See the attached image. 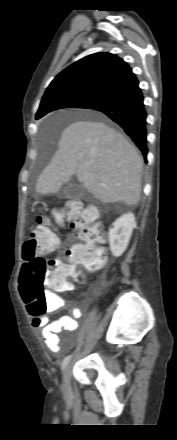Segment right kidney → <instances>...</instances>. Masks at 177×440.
<instances>
[{"instance_id": "obj_1", "label": "right kidney", "mask_w": 177, "mask_h": 440, "mask_svg": "<svg viewBox=\"0 0 177 440\" xmlns=\"http://www.w3.org/2000/svg\"><path fill=\"white\" fill-rule=\"evenodd\" d=\"M135 226L133 213L122 215L112 224V228L109 229V244L114 257H119L124 253Z\"/></svg>"}]
</instances>
